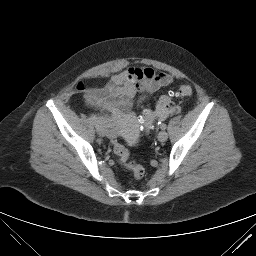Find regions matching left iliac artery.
Wrapping results in <instances>:
<instances>
[{
    "label": "left iliac artery",
    "instance_id": "1",
    "mask_svg": "<svg viewBox=\"0 0 256 256\" xmlns=\"http://www.w3.org/2000/svg\"><path fill=\"white\" fill-rule=\"evenodd\" d=\"M160 128H161L162 130H165V129H166V124L162 123V124L160 125Z\"/></svg>",
    "mask_w": 256,
    "mask_h": 256
}]
</instances>
